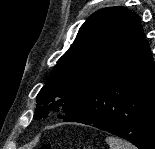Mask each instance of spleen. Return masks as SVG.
Segmentation results:
<instances>
[{"label": "spleen", "mask_w": 155, "mask_h": 149, "mask_svg": "<svg viewBox=\"0 0 155 149\" xmlns=\"http://www.w3.org/2000/svg\"><path fill=\"white\" fill-rule=\"evenodd\" d=\"M106 142L110 149H137L131 143L113 136L106 137Z\"/></svg>", "instance_id": "1"}]
</instances>
